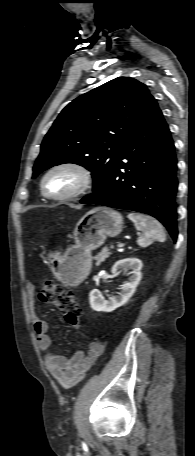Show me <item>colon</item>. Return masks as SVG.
Here are the masks:
<instances>
[{"label":"colon","mask_w":195,"mask_h":456,"mask_svg":"<svg viewBox=\"0 0 195 456\" xmlns=\"http://www.w3.org/2000/svg\"><path fill=\"white\" fill-rule=\"evenodd\" d=\"M39 298L42 302L57 307L69 325L79 327L81 309L71 291L53 280H45L40 288Z\"/></svg>","instance_id":"colon-1"}]
</instances>
